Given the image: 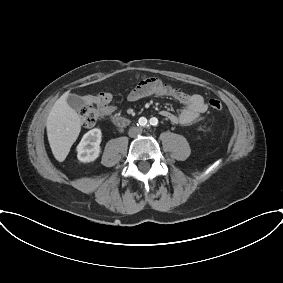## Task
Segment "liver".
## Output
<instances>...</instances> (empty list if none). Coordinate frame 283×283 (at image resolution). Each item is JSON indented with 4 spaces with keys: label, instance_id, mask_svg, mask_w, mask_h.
Here are the masks:
<instances>
[{
    "label": "liver",
    "instance_id": "obj_1",
    "mask_svg": "<svg viewBox=\"0 0 283 283\" xmlns=\"http://www.w3.org/2000/svg\"><path fill=\"white\" fill-rule=\"evenodd\" d=\"M68 93L53 105L46 121L48 141L56 160L62 162L81 131V119L67 103Z\"/></svg>",
    "mask_w": 283,
    "mask_h": 283
}]
</instances>
